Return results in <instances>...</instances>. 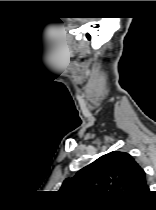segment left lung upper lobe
Listing matches in <instances>:
<instances>
[{
  "mask_svg": "<svg viewBox=\"0 0 156 210\" xmlns=\"http://www.w3.org/2000/svg\"><path fill=\"white\" fill-rule=\"evenodd\" d=\"M64 193L110 192L142 195L149 191L146 175L128 153L113 151L95 160L67 178L60 189Z\"/></svg>",
  "mask_w": 156,
  "mask_h": 210,
  "instance_id": "left-lung-upper-lobe-1",
  "label": "left lung upper lobe"
}]
</instances>
